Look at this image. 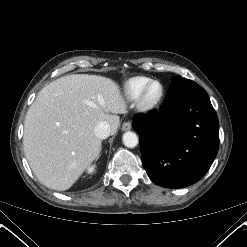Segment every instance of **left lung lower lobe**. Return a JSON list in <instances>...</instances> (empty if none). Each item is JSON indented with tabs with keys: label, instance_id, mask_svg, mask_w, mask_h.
<instances>
[{
	"label": "left lung lower lobe",
	"instance_id": "0a47b994",
	"mask_svg": "<svg viewBox=\"0 0 247 247\" xmlns=\"http://www.w3.org/2000/svg\"><path fill=\"white\" fill-rule=\"evenodd\" d=\"M139 133L142 164L149 178L167 188L200 180L219 147V123L205 90L197 83L169 87L160 111L132 122Z\"/></svg>",
	"mask_w": 247,
	"mask_h": 247
}]
</instances>
